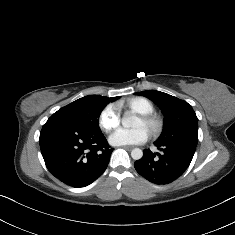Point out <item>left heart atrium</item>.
I'll use <instances>...</instances> for the list:
<instances>
[{
    "instance_id": "39dd6f15",
    "label": "left heart atrium",
    "mask_w": 235,
    "mask_h": 235,
    "mask_svg": "<svg viewBox=\"0 0 235 235\" xmlns=\"http://www.w3.org/2000/svg\"><path fill=\"white\" fill-rule=\"evenodd\" d=\"M149 138V134L144 127L133 130L117 129L110 134L108 140L114 146H126L142 144Z\"/></svg>"
}]
</instances>
